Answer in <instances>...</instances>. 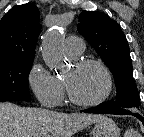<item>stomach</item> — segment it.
<instances>
[{"label": "stomach", "instance_id": "1", "mask_svg": "<svg viewBox=\"0 0 144 137\" xmlns=\"http://www.w3.org/2000/svg\"><path fill=\"white\" fill-rule=\"evenodd\" d=\"M92 133L93 137H120V129L112 119L106 116H102L95 123Z\"/></svg>", "mask_w": 144, "mask_h": 137}]
</instances>
